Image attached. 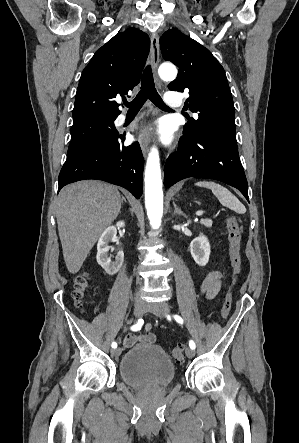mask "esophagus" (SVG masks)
I'll use <instances>...</instances> for the list:
<instances>
[{
    "label": "esophagus",
    "instance_id": "34e87169",
    "mask_svg": "<svg viewBox=\"0 0 299 443\" xmlns=\"http://www.w3.org/2000/svg\"><path fill=\"white\" fill-rule=\"evenodd\" d=\"M150 56H151L152 67L156 73V69L159 64V56H160L159 37L157 34H153L151 37ZM156 84L158 87H161V82L157 76H156ZM138 141L143 155L146 156L150 142L148 132L143 130L138 136Z\"/></svg>",
    "mask_w": 299,
    "mask_h": 443
}]
</instances>
